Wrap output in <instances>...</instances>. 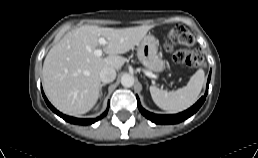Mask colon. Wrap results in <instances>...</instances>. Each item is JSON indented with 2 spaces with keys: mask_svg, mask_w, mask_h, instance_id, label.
<instances>
[{
  "mask_svg": "<svg viewBox=\"0 0 258 158\" xmlns=\"http://www.w3.org/2000/svg\"><path fill=\"white\" fill-rule=\"evenodd\" d=\"M183 47L174 50V45ZM194 44L193 35L183 26L173 27L166 35L164 46L166 51L172 54V58L177 63H184L192 69L204 66L205 61L201 53L192 46Z\"/></svg>",
  "mask_w": 258,
  "mask_h": 158,
  "instance_id": "5ec220e1",
  "label": "colon"
}]
</instances>
